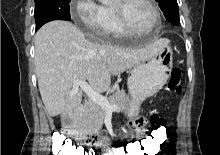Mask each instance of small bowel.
I'll list each match as a JSON object with an SVG mask.
<instances>
[{
    "mask_svg": "<svg viewBox=\"0 0 220 155\" xmlns=\"http://www.w3.org/2000/svg\"><path fill=\"white\" fill-rule=\"evenodd\" d=\"M145 119L142 117H139L137 119H134L130 122L131 125H133L136 128V139H144V135H148L146 130L144 129L145 126ZM168 135V134H167ZM108 136H91L90 140H86V145H108ZM112 150H122V148H112L109 149L104 155H112ZM124 155V153L122 154Z\"/></svg>",
    "mask_w": 220,
    "mask_h": 155,
    "instance_id": "obj_1",
    "label": "small bowel"
}]
</instances>
